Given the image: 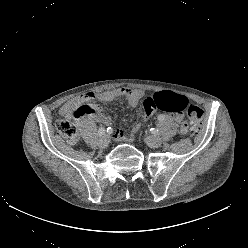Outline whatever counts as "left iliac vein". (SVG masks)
Wrapping results in <instances>:
<instances>
[{"mask_svg": "<svg viewBox=\"0 0 248 248\" xmlns=\"http://www.w3.org/2000/svg\"><path fill=\"white\" fill-rule=\"evenodd\" d=\"M145 142L151 148H158L162 145V140L157 136H148Z\"/></svg>", "mask_w": 248, "mask_h": 248, "instance_id": "4c4485c4", "label": "left iliac vein"}]
</instances>
